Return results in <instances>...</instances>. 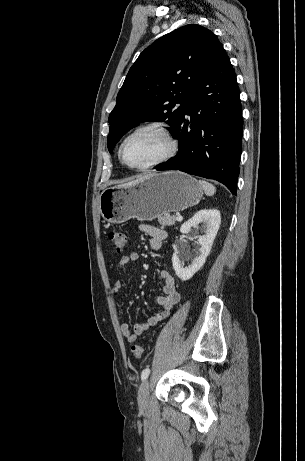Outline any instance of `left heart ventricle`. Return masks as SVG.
I'll use <instances>...</instances> for the list:
<instances>
[{
	"label": "left heart ventricle",
	"mask_w": 305,
	"mask_h": 461,
	"mask_svg": "<svg viewBox=\"0 0 305 461\" xmlns=\"http://www.w3.org/2000/svg\"><path fill=\"white\" fill-rule=\"evenodd\" d=\"M167 149L168 142L160 132L146 130L127 141L124 158L133 166H141L160 158Z\"/></svg>",
	"instance_id": "left-heart-ventricle-1"
}]
</instances>
